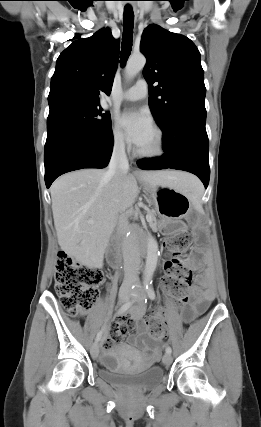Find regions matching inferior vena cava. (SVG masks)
Here are the masks:
<instances>
[{"instance_id":"obj_1","label":"inferior vena cava","mask_w":261,"mask_h":427,"mask_svg":"<svg viewBox=\"0 0 261 427\" xmlns=\"http://www.w3.org/2000/svg\"><path fill=\"white\" fill-rule=\"evenodd\" d=\"M129 170V163L125 152L124 142L114 145L112 157L106 176L121 179ZM130 226L124 215L118 218V232L122 236V254L124 259V284L131 285L138 282L137 268L140 264V253L133 236H126Z\"/></svg>"}]
</instances>
